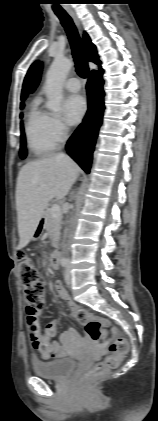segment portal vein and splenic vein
I'll return each instance as SVG.
<instances>
[{"mask_svg": "<svg viewBox=\"0 0 158 421\" xmlns=\"http://www.w3.org/2000/svg\"><path fill=\"white\" fill-rule=\"evenodd\" d=\"M51 214H52V216H53V217H58V216H60V215H61L60 206H59V205H57V204H54V205L51 207Z\"/></svg>", "mask_w": 158, "mask_h": 421, "instance_id": "portal-vein-and-splenic-vein-1", "label": "portal vein and splenic vein"}]
</instances>
